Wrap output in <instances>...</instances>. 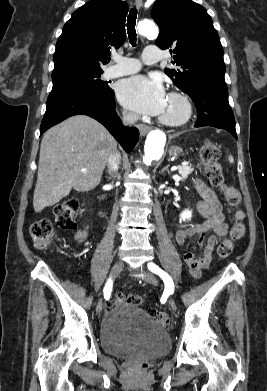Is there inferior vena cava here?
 Returning <instances> with one entry per match:
<instances>
[{
	"instance_id": "602c4592",
	"label": "inferior vena cava",
	"mask_w": 267,
	"mask_h": 391,
	"mask_svg": "<svg viewBox=\"0 0 267 391\" xmlns=\"http://www.w3.org/2000/svg\"><path fill=\"white\" fill-rule=\"evenodd\" d=\"M137 119H138L137 114L134 113L123 114V123L125 125H133ZM120 162H121V155L117 151V149H114L108 159V167L110 169V173L116 172L119 169Z\"/></svg>"
}]
</instances>
